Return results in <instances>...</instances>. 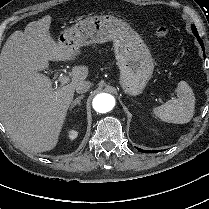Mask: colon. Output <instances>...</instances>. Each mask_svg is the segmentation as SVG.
<instances>
[{
    "label": "colon",
    "instance_id": "colon-1",
    "mask_svg": "<svg viewBox=\"0 0 209 209\" xmlns=\"http://www.w3.org/2000/svg\"><path fill=\"white\" fill-rule=\"evenodd\" d=\"M155 33L158 38H165L168 35L169 30L167 27L159 25L156 27ZM165 46L168 50H172L175 46L174 40H172V39L167 40L165 43ZM181 61H182V57L178 56L176 58V62H181Z\"/></svg>",
    "mask_w": 209,
    "mask_h": 209
}]
</instances>
